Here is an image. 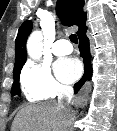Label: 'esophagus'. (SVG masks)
<instances>
[{
    "mask_svg": "<svg viewBox=\"0 0 117 131\" xmlns=\"http://www.w3.org/2000/svg\"><path fill=\"white\" fill-rule=\"evenodd\" d=\"M87 101L85 92L77 97L76 104L81 105L84 104Z\"/></svg>",
    "mask_w": 117,
    "mask_h": 131,
    "instance_id": "esophagus-1",
    "label": "esophagus"
}]
</instances>
